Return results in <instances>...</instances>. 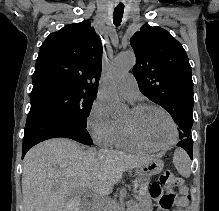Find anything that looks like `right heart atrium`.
<instances>
[{"label": "right heart atrium", "mask_w": 219, "mask_h": 211, "mask_svg": "<svg viewBox=\"0 0 219 211\" xmlns=\"http://www.w3.org/2000/svg\"><path fill=\"white\" fill-rule=\"evenodd\" d=\"M86 126L96 143L102 146L114 144L118 123L107 108L99 101H94L86 117Z\"/></svg>", "instance_id": "right-heart-atrium-1"}]
</instances>
